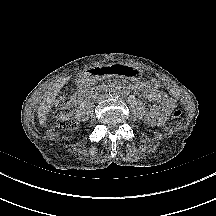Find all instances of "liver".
Listing matches in <instances>:
<instances>
[{"instance_id": "liver-1", "label": "liver", "mask_w": 216, "mask_h": 216, "mask_svg": "<svg viewBox=\"0 0 216 216\" xmlns=\"http://www.w3.org/2000/svg\"><path fill=\"white\" fill-rule=\"evenodd\" d=\"M62 85L63 84H57L53 87L52 91L47 92L46 96L38 107V119L42 127H45L46 125L49 110L53 106L55 98L58 95Z\"/></svg>"}]
</instances>
